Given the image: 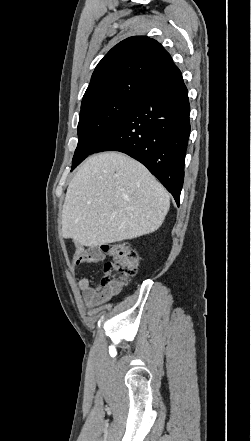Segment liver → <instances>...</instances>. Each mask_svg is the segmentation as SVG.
<instances>
[{
    "instance_id": "obj_1",
    "label": "liver",
    "mask_w": 251,
    "mask_h": 441,
    "mask_svg": "<svg viewBox=\"0 0 251 441\" xmlns=\"http://www.w3.org/2000/svg\"><path fill=\"white\" fill-rule=\"evenodd\" d=\"M166 189L138 161L118 152L89 157L69 183L62 235L97 247L150 234L169 210Z\"/></svg>"
}]
</instances>
